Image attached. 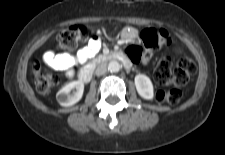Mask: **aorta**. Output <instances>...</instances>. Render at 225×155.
<instances>
[{
    "label": "aorta",
    "mask_w": 225,
    "mask_h": 155,
    "mask_svg": "<svg viewBox=\"0 0 225 155\" xmlns=\"http://www.w3.org/2000/svg\"><path fill=\"white\" fill-rule=\"evenodd\" d=\"M120 68H121V66L117 61H111L108 64V70L110 72H113V73L118 72L120 70Z\"/></svg>",
    "instance_id": "1"
}]
</instances>
